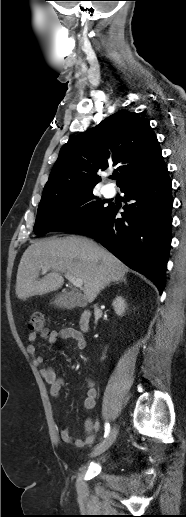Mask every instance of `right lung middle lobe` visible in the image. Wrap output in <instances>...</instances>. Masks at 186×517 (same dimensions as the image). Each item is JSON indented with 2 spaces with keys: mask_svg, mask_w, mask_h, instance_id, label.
Returning a JSON list of instances; mask_svg holds the SVG:
<instances>
[{
  "mask_svg": "<svg viewBox=\"0 0 186 517\" xmlns=\"http://www.w3.org/2000/svg\"><path fill=\"white\" fill-rule=\"evenodd\" d=\"M108 207L96 199L93 190L62 195L41 201L38 206L34 232L42 236L49 231L75 232L89 225Z\"/></svg>",
  "mask_w": 186,
  "mask_h": 517,
  "instance_id": "right-lung-middle-lobe-1",
  "label": "right lung middle lobe"
}]
</instances>
